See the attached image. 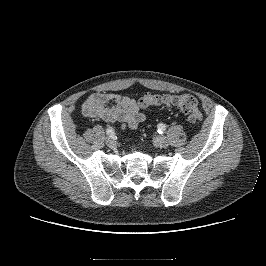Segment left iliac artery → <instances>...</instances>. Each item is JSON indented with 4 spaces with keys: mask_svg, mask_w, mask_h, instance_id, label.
<instances>
[{
    "mask_svg": "<svg viewBox=\"0 0 266 266\" xmlns=\"http://www.w3.org/2000/svg\"><path fill=\"white\" fill-rule=\"evenodd\" d=\"M157 128H158V132L160 134H163L164 131L166 130V126L163 123L158 124V127Z\"/></svg>",
    "mask_w": 266,
    "mask_h": 266,
    "instance_id": "obj_1",
    "label": "left iliac artery"
}]
</instances>
